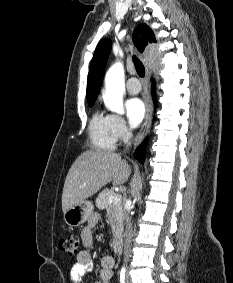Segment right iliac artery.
Segmentation results:
<instances>
[{"label":"right iliac artery","instance_id":"82829eb1","mask_svg":"<svg viewBox=\"0 0 233 283\" xmlns=\"http://www.w3.org/2000/svg\"><path fill=\"white\" fill-rule=\"evenodd\" d=\"M120 283H125V268L124 267L120 271Z\"/></svg>","mask_w":233,"mask_h":283}]
</instances>
